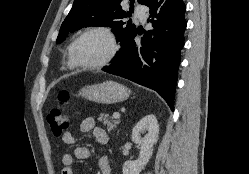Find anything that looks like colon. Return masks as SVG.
<instances>
[{
	"mask_svg": "<svg viewBox=\"0 0 249 174\" xmlns=\"http://www.w3.org/2000/svg\"><path fill=\"white\" fill-rule=\"evenodd\" d=\"M69 99V93L63 91L59 95L61 104H65ZM48 124L56 136H61L66 133L70 127L69 116L59 107L53 108L48 112L47 115Z\"/></svg>",
	"mask_w": 249,
	"mask_h": 174,
	"instance_id": "5ec220e1",
	"label": "colon"
}]
</instances>
